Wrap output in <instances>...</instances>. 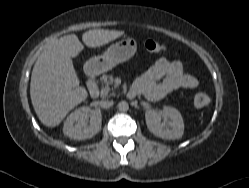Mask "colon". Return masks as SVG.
<instances>
[{
  "label": "colon",
  "mask_w": 249,
  "mask_h": 188,
  "mask_svg": "<svg viewBox=\"0 0 249 188\" xmlns=\"http://www.w3.org/2000/svg\"><path fill=\"white\" fill-rule=\"evenodd\" d=\"M145 48L151 53H160L165 50V45L159 41L149 39L145 42ZM210 98L206 94H197L193 98L196 107H205L209 104Z\"/></svg>",
  "instance_id": "1"
}]
</instances>
